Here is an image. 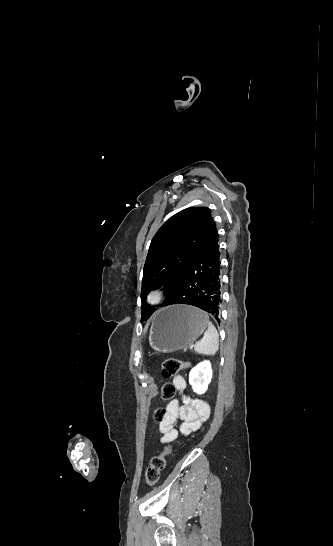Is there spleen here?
<instances>
[{"label":"spleen","mask_w":333,"mask_h":546,"mask_svg":"<svg viewBox=\"0 0 333 546\" xmlns=\"http://www.w3.org/2000/svg\"><path fill=\"white\" fill-rule=\"evenodd\" d=\"M206 314V313H205ZM207 331L203 338L195 344V351L201 354H215L219 349V335L214 325L209 321L206 314Z\"/></svg>","instance_id":"spleen-1"}]
</instances>
